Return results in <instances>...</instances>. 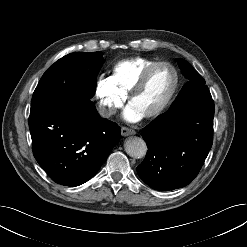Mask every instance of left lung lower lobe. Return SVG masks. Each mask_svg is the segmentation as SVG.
I'll return each instance as SVG.
<instances>
[{
    "mask_svg": "<svg viewBox=\"0 0 247 247\" xmlns=\"http://www.w3.org/2000/svg\"><path fill=\"white\" fill-rule=\"evenodd\" d=\"M214 102L205 85L142 129L147 154L139 177L160 191L188 185L199 173L213 143Z\"/></svg>",
    "mask_w": 247,
    "mask_h": 247,
    "instance_id": "obj_1",
    "label": "left lung lower lobe"
}]
</instances>
